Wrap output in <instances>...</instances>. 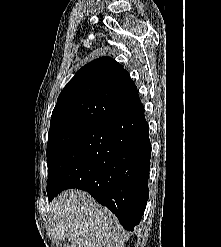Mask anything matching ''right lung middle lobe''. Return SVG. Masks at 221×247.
<instances>
[{"instance_id": "1", "label": "right lung middle lobe", "mask_w": 221, "mask_h": 247, "mask_svg": "<svg viewBox=\"0 0 221 247\" xmlns=\"http://www.w3.org/2000/svg\"><path fill=\"white\" fill-rule=\"evenodd\" d=\"M90 127L69 125L49 130L47 144V164L49 173L64 150ZM48 173V175H49Z\"/></svg>"}]
</instances>
